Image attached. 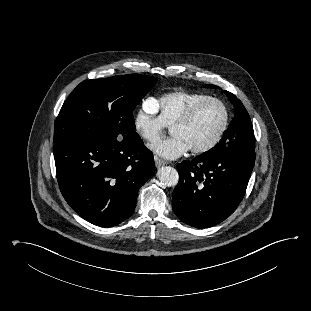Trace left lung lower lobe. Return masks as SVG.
<instances>
[{
	"mask_svg": "<svg viewBox=\"0 0 311 311\" xmlns=\"http://www.w3.org/2000/svg\"><path fill=\"white\" fill-rule=\"evenodd\" d=\"M254 162L255 150L236 149L218 155L203 153L179 163V182L172 196L177 217L196 228L228 218L245 194Z\"/></svg>",
	"mask_w": 311,
	"mask_h": 311,
	"instance_id": "left-lung-lower-lobe-1",
	"label": "left lung lower lobe"
}]
</instances>
